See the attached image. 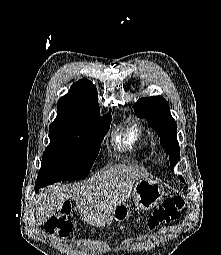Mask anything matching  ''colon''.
Instances as JSON below:
<instances>
[{
  "instance_id": "5ec220e1",
  "label": "colon",
  "mask_w": 221,
  "mask_h": 255,
  "mask_svg": "<svg viewBox=\"0 0 221 255\" xmlns=\"http://www.w3.org/2000/svg\"><path fill=\"white\" fill-rule=\"evenodd\" d=\"M184 200L181 197H174L165 200L153 213L149 219V227L154 229L163 223H170L180 218L184 207ZM71 208L69 204H63L58 214L52 215L46 222V232L58 234L65 238L72 229L70 218Z\"/></svg>"
}]
</instances>
